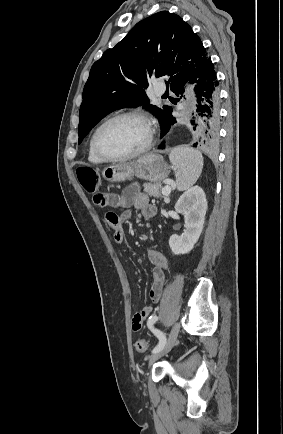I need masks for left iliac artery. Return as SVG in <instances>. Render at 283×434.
Wrapping results in <instances>:
<instances>
[{"label":"left iliac artery","mask_w":283,"mask_h":434,"mask_svg":"<svg viewBox=\"0 0 283 434\" xmlns=\"http://www.w3.org/2000/svg\"><path fill=\"white\" fill-rule=\"evenodd\" d=\"M159 318L157 316H153L150 317V319L148 320V327L153 331V333L157 336V338L159 339V343L156 345V347L152 350V353H156L158 351H160L165 343H166V336L165 334L157 329L153 328L154 323L158 320Z\"/></svg>","instance_id":"left-iliac-artery-1"}]
</instances>
